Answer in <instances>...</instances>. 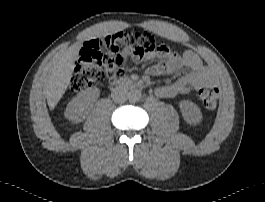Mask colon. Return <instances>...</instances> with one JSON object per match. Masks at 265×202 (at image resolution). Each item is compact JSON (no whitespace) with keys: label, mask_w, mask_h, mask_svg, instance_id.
Instances as JSON below:
<instances>
[{"label":"colon","mask_w":265,"mask_h":202,"mask_svg":"<svg viewBox=\"0 0 265 202\" xmlns=\"http://www.w3.org/2000/svg\"><path fill=\"white\" fill-rule=\"evenodd\" d=\"M124 50L136 61L151 60L167 51L165 46L140 32L106 35L100 38L96 51L74 63L71 91L78 93L107 78L122 76L126 62ZM199 98L206 109L213 110L217 106L219 89L215 86L205 87L200 90Z\"/></svg>","instance_id":"1"}]
</instances>
